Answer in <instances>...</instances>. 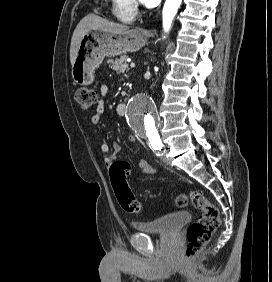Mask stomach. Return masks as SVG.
Instances as JSON below:
<instances>
[{
  "label": "stomach",
  "instance_id": "obj_1",
  "mask_svg": "<svg viewBox=\"0 0 272 282\" xmlns=\"http://www.w3.org/2000/svg\"><path fill=\"white\" fill-rule=\"evenodd\" d=\"M147 32L142 29L113 33L91 30L83 35L75 61L72 65V78L78 85H88L94 80V72L106 56L134 52L147 42Z\"/></svg>",
  "mask_w": 272,
  "mask_h": 282
}]
</instances>
